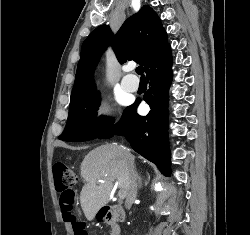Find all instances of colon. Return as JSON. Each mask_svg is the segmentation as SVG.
Instances as JSON below:
<instances>
[{
	"instance_id": "1",
	"label": "colon",
	"mask_w": 250,
	"mask_h": 235,
	"mask_svg": "<svg viewBox=\"0 0 250 235\" xmlns=\"http://www.w3.org/2000/svg\"><path fill=\"white\" fill-rule=\"evenodd\" d=\"M54 181L60 193V207L64 220L72 226L74 235H88L85 224L81 222L74 210L75 193L72 187L77 183L78 177L69 165L58 162L53 166Z\"/></svg>"
}]
</instances>
